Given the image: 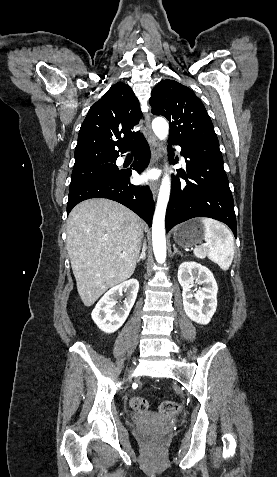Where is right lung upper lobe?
I'll use <instances>...</instances> for the list:
<instances>
[{"mask_svg":"<svg viewBox=\"0 0 277 477\" xmlns=\"http://www.w3.org/2000/svg\"><path fill=\"white\" fill-rule=\"evenodd\" d=\"M142 116L139 102L129 85L118 82L90 108L75 148L73 168L116 160L143 135L131 129ZM118 139V140H116Z\"/></svg>","mask_w":277,"mask_h":477,"instance_id":"1","label":"right lung upper lobe"}]
</instances>
